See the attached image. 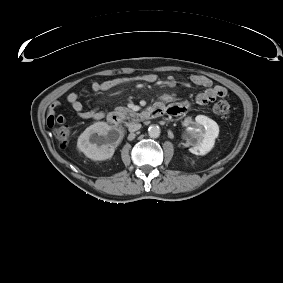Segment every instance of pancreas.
Segmentation results:
<instances>
[{"label": "pancreas", "mask_w": 283, "mask_h": 283, "mask_svg": "<svg viewBox=\"0 0 283 283\" xmlns=\"http://www.w3.org/2000/svg\"><path fill=\"white\" fill-rule=\"evenodd\" d=\"M115 113H117L119 116H123V117H127V115L131 116L134 120L139 119V114L132 111L131 109L127 108V107H116L115 108Z\"/></svg>", "instance_id": "1"}]
</instances>
